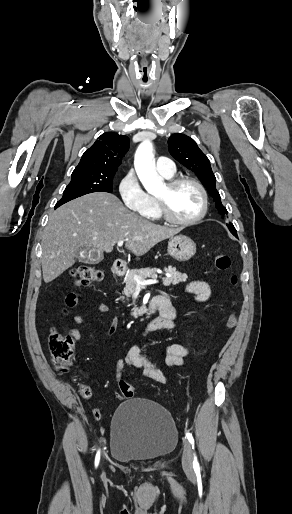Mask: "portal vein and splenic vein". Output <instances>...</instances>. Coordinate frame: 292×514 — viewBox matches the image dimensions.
<instances>
[{
  "mask_svg": "<svg viewBox=\"0 0 292 514\" xmlns=\"http://www.w3.org/2000/svg\"><path fill=\"white\" fill-rule=\"evenodd\" d=\"M123 242L124 240H120V242H118V246H123ZM134 280L135 282H137L138 286H148V284H158V280H144V282H142L141 278H139V276H134Z\"/></svg>",
  "mask_w": 292,
  "mask_h": 514,
  "instance_id": "18ae733b",
  "label": "portal vein and splenic vein"
}]
</instances>
